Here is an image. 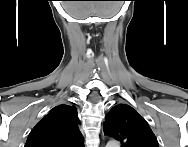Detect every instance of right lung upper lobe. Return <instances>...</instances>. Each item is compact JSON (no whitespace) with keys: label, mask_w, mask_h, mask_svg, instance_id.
Wrapping results in <instances>:
<instances>
[{"label":"right lung upper lobe","mask_w":188,"mask_h":147,"mask_svg":"<svg viewBox=\"0 0 188 147\" xmlns=\"http://www.w3.org/2000/svg\"><path fill=\"white\" fill-rule=\"evenodd\" d=\"M25 147H84L75 106L51 109L32 129Z\"/></svg>","instance_id":"obj_1"}]
</instances>
